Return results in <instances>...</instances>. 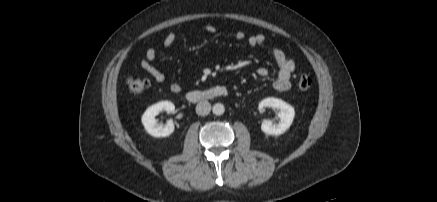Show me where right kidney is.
<instances>
[{
	"instance_id": "ca27d5eb",
	"label": "right kidney",
	"mask_w": 437,
	"mask_h": 202,
	"mask_svg": "<svg viewBox=\"0 0 437 202\" xmlns=\"http://www.w3.org/2000/svg\"><path fill=\"white\" fill-rule=\"evenodd\" d=\"M174 110L175 106L170 101H161L147 108L141 118L142 124L147 133L156 138L171 135L174 132L173 121L169 120L167 124L159 125L155 116L162 111L172 113Z\"/></svg>"
}]
</instances>
